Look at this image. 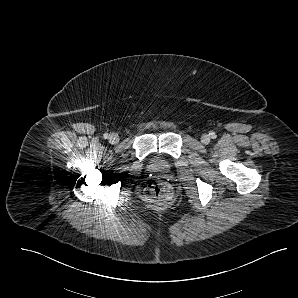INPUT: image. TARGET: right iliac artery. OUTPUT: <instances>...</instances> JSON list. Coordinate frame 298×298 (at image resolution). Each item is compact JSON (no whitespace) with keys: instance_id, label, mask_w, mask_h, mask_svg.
Wrapping results in <instances>:
<instances>
[{"instance_id":"obj_1","label":"right iliac artery","mask_w":298,"mask_h":298,"mask_svg":"<svg viewBox=\"0 0 298 298\" xmlns=\"http://www.w3.org/2000/svg\"><path fill=\"white\" fill-rule=\"evenodd\" d=\"M103 137H104L105 139H107V138L109 137L108 133H105V134L103 135Z\"/></svg>"}]
</instances>
